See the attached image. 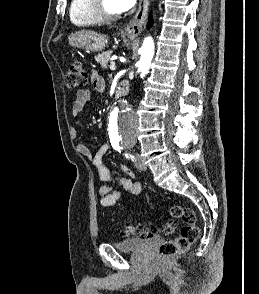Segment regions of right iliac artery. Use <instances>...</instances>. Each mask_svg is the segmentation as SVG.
Masks as SVG:
<instances>
[{
  "mask_svg": "<svg viewBox=\"0 0 259 294\" xmlns=\"http://www.w3.org/2000/svg\"><path fill=\"white\" fill-rule=\"evenodd\" d=\"M112 147L115 149V150H118L120 152V147H119V144L117 142H112Z\"/></svg>",
  "mask_w": 259,
  "mask_h": 294,
  "instance_id": "obj_1",
  "label": "right iliac artery"
}]
</instances>
